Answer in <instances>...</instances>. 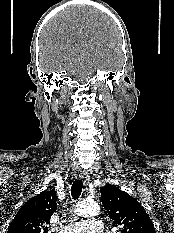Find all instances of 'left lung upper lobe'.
Listing matches in <instances>:
<instances>
[{"mask_svg":"<svg viewBox=\"0 0 174 233\" xmlns=\"http://www.w3.org/2000/svg\"><path fill=\"white\" fill-rule=\"evenodd\" d=\"M102 204L121 233H155L154 225L141 204L114 185L100 188Z\"/></svg>","mask_w":174,"mask_h":233,"instance_id":"1","label":"left lung upper lobe"}]
</instances>
